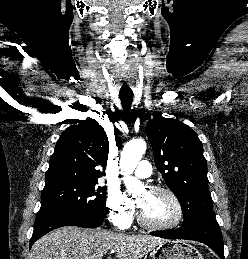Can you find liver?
Listing matches in <instances>:
<instances>
[{"label":"liver","instance_id":"obj_1","mask_svg":"<svg viewBox=\"0 0 248 259\" xmlns=\"http://www.w3.org/2000/svg\"><path fill=\"white\" fill-rule=\"evenodd\" d=\"M167 240L149 235H126L102 229L66 226L38 239L29 259H140Z\"/></svg>","mask_w":248,"mask_h":259}]
</instances>
